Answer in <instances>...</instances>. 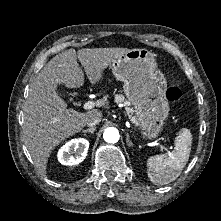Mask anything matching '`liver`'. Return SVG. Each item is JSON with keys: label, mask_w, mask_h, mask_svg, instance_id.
<instances>
[{"label": "liver", "mask_w": 221, "mask_h": 221, "mask_svg": "<svg viewBox=\"0 0 221 221\" xmlns=\"http://www.w3.org/2000/svg\"><path fill=\"white\" fill-rule=\"evenodd\" d=\"M127 48H82L65 50L53 57L30 85L24 106V143L39 173L46 175L52 150L62 141L81 131L86 124L102 113L93 109L84 113L68 109L58 96L56 87L79 88L84 84V72L91 84L102 80L104 70Z\"/></svg>", "instance_id": "1"}]
</instances>
